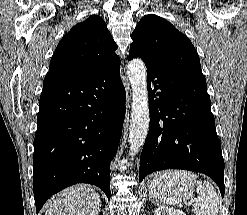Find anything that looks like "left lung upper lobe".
I'll return each instance as SVG.
<instances>
[{
	"label": "left lung upper lobe",
	"instance_id": "obj_1",
	"mask_svg": "<svg viewBox=\"0 0 247 215\" xmlns=\"http://www.w3.org/2000/svg\"><path fill=\"white\" fill-rule=\"evenodd\" d=\"M129 55L166 70L205 80L200 59L191 41L167 20L145 15L131 35Z\"/></svg>",
	"mask_w": 247,
	"mask_h": 215
}]
</instances>
